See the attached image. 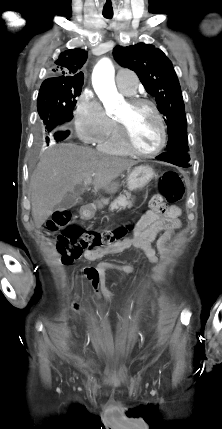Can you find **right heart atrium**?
Listing matches in <instances>:
<instances>
[{"mask_svg": "<svg viewBox=\"0 0 222 429\" xmlns=\"http://www.w3.org/2000/svg\"><path fill=\"white\" fill-rule=\"evenodd\" d=\"M74 123L79 137L84 142L95 143L108 134L113 120L107 115L96 95L90 89H85L76 101Z\"/></svg>", "mask_w": 222, "mask_h": 429, "instance_id": "right-heart-atrium-1", "label": "right heart atrium"}]
</instances>
